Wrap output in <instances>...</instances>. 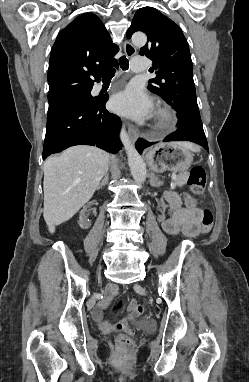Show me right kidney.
Here are the masks:
<instances>
[{
  "instance_id": "obj_1",
  "label": "right kidney",
  "mask_w": 249,
  "mask_h": 382,
  "mask_svg": "<svg viewBox=\"0 0 249 382\" xmlns=\"http://www.w3.org/2000/svg\"><path fill=\"white\" fill-rule=\"evenodd\" d=\"M91 205V204H90ZM89 204H84L83 205V210L80 213L79 216V225L81 228H84L86 230H89L91 228V225L93 223V218L92 217H86L85 214H94V207H90Z\"/></svg>"
}]
</instances>
